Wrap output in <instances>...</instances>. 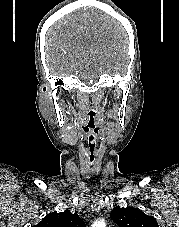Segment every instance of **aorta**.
Here are the masks:
<instances>
[{
  "instance_id": "762f6f07",
  "label": "aorta",
  "mask_w": 179,
  "mask_h": 227,
  "mask_svg": "<svg viewBox=\"0 0 179 227\" xmlns=\"http://www.w3.org/2000/svg\"><path fill=\"white\" fill-rule=\"evenodd\" d=\"M92 227H106L105 221L103 219L96 220L93 224Z\"/></svg>"
}]
</instances>
